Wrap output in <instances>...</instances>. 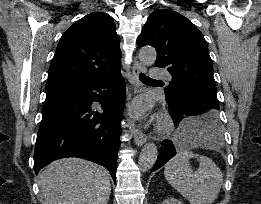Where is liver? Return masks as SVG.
Here are the masks:
<instances>
[{"mask_svg": "<svg viewBox=\"0 0 261 204\" xmlns=\"http://www.w3.org/2000/svg\"><path fill=\"white\" fill-rule=\"evenodd\" d=\"M39 185L46 204H107L111 192L107 170L79 158L49 164Z\"/></svg>", "mask_w": 261, "mask_h": 204, "instance_id": "1", "label": "liver"}]
</instances>
